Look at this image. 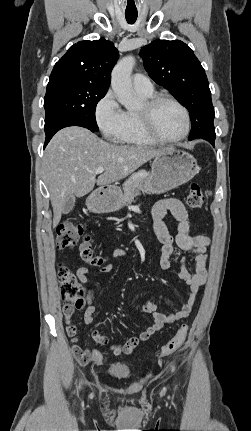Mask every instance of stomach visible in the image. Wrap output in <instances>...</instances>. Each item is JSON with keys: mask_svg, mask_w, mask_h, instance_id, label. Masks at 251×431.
<instances>
[{"mask_svg": "<svg viewBox=\"0 0 251 431\" xmlns=\"http://www.w3.org/2000/svg\"><path fill=\"white\" fill-rule=\"evenodd\" d=\"M198 171L199 167L192 155L170 147L155 157L143 192L164 193L190 181ZM121 195L119 187L108 186L92 193L86 200V205L94 213L114 212L121 207Z\"/></svg>", "mask_w": 251, "mask_h": 431, "instance_id": "stomach-1", "label": "stomach"}]
</instances>
